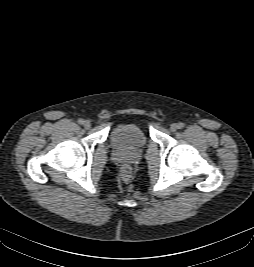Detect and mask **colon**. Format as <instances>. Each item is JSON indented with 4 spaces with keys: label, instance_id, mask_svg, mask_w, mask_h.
<instances>
[{
    "label": "colon",
    "instance_id": "colon-1",
    "mask_svg": "<svg viewBox=\"0 0 254 267\" xmlns=\"http://www.w3.org/2000/svg\"><path fill=\"white\" fill-rule=\"evenodd\" d=\"M122 172H123V175L127 177V176L130 175V173H131V169H130V167L125 166V167L123 168Z\"/></svg>",
    "mask_w": 254,
    "mask_h": 267
}]
</instances>
